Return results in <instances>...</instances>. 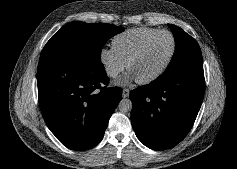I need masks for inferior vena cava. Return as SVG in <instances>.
Here are the masks:
<instances>
[{"label": "inferior vena cava", "instance_id": "1", "mask_svg": "<svg viewBox=\"0 0 237 169\" xmlns=\"http://www.w3.org/2000/svg\"><path fill=\"white\" fill-rule=\"evenodd\" d=\"M106 72L110 77H114L118 74L117 70L112 69V68H107Z\"/></svg>", "mask_w": 237, "mask_h": 169}]
</instances>
